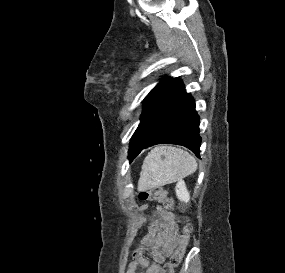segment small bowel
I'll return each mask as SVG.
<instances>
[{"mask_svg":"<svg viewBox=\"0 0 285 273\" xmlns=\"http://www.w3.org/2000/svg\"><path fill=\"white\" fill-rule=\"evenodd\" d=\"M156 214L157 218L151 222L134 252L127 273H138L140 267L146 268V273H159L160 266L179 242L178 225L174 215L162 207L156 208ZM147 250L150 251L152 263L144 255Z\"/></svg>","mask_w":285,"mask_h":273,"instance_id":"small-bowel-1","label":"small bowel"}]
</instances>
